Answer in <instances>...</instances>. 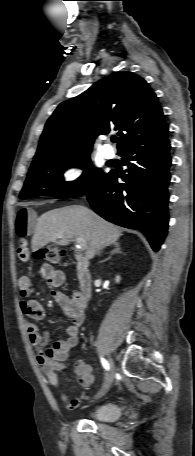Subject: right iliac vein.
<instances>
[{
    "mask_svg": "<svg viewBox=\"0 0 195 456\" xmlns=\"http://www.w3.org/2000/svg\"><path fill=\"white\" fill-rule=\"evenodd\" d=\"M109 361H110V371H109V373H107V375L105 377V381L102 386V389L97 394L98 398L103 397L108 392V390L110 389V387L112 385L113 379H114V370H115L114 362L112 359H110Z\"/></svg>",
    "mask_w": 195,
    "mask_h": 456,
    "instance_id": "obj_1",
    "label": "right iliac vein"
}]
</instances>
